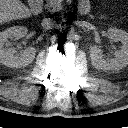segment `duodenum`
<instances>
[{"label":"duodenum","mask_w":128,"mask_h":128,"mask_svg":"<svg viewBox=\"0 0 128 128\" xmlns=\"http://www.w3.org/2000/svg\"><path fill=\"white\" fill-rule=\"evenodd\" d=\"M31 11L33 14L37 15L42 10L43 0H29ZM90 7L88 5H79V12L81 14H87L89 12Z\"/></svg>","instance_id":"obj_1"}]
</instances>
